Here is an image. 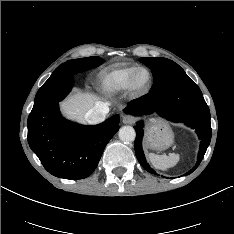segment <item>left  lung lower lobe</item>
<instances>
[{"mask_svg":"<svg viewBox=\"0 0 234 234\" xmlns=\"http://www.w3.org/2000/svg\"><path fill=\"white\" fill-rule=\"evenodd\" d=\"M125 111L132 115H159L173 122H184L196 129L201 140L200 151L196 165L185 175L192 173L202 161L211 140V124L209 108L199 87L189 78L174 81L165 87L151 90L148 94L133 100ZM143 123L137 122L135 153L142 167L152 174H156L147 163L142 150Z\"/></svg>","mask_w":234,"mask_h":234,"instance_id":"1","label":"left lung lower lobe"}]
</instances>
